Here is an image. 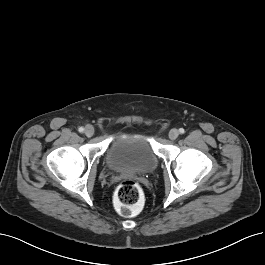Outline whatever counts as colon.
Returning <instances> with one entry per match:
<instances>
[{
    "label": "colon",
    "instance_id": "5ec220e1",
    "mask_svg": "<svg viewBox=\"0 0 265 265\" xmlns=\"http://www.w3.org/2000/svg\"><path fill=\"white\" fill-rule=\"evenodd\" d=\"M142 201V190L133 180H124L115 191V204L124 216L132 215Z\"/></svg>",
    "mask_w": 265,
    "mask_h": 265
}]
</instances>
